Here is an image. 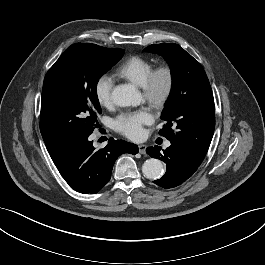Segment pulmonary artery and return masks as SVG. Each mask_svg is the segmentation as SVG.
Masks as SVG:
<instances>
[{
    "label": "pulmonary artery",
    "instance_id": "e3ab8cb5",
    "mask_svg": "<svg viewBox=\"0 0 265 265\" xmlns=\"http://www.w3.org/2000/svg\"><path fill=\"white\" fill-rule=\"evenodd\" d=\"M165 146H166V147H169V146H170V143H169V142H166V143H165Z\"/></svg>",
    "mask_w": 265,
    "mask_h": 265
}]
</instances>
